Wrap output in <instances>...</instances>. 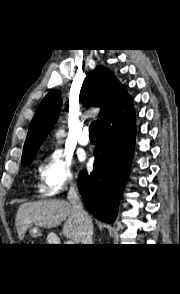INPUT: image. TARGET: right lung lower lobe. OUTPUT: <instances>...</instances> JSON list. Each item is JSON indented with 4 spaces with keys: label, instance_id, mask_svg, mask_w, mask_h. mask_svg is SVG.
Wrapping results in <instances>:
<instances>
[{
    "label": "right lung lower lobe",
    "instance_id": "obj_1",
    "mask_svg": "<svg viewBox=\"0 0 180 294\" xmlns=\"http://www.w3.org/2000/svg\"><path fill=\"white\" fill-rule=\"evenodd\" d=\"M136 138L132 99L100 122L95 147L94 170L79 174L80 193L88 210L98 219L112 223L128 180Z\"/></svg>",
    "mask_w": 180,
    "mask_h": 294
}]
</instances>
